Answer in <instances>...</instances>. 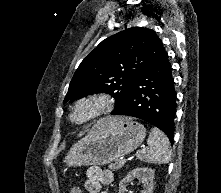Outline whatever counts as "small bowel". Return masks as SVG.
Here are the masks:
<instances>
[{
	"label": "small bowel",
	"mask_w": 221,
	"mask_h": 193,
	"mask_svg": "<svg viewBox=\"0 0 221 193\" xmlns=\"http://www.w3.org/2000/svg\"><path fill=\"white\" fill-rule=\"evenodd\" d=\"M113 182V173L99 166H91L86 170L85 188L89 193H101L103 186ZM71 193H77L72 188Z\"/></svg>",
	"instance_id": "small-bowel-1"
}]
</instances>
